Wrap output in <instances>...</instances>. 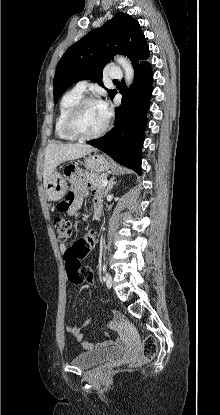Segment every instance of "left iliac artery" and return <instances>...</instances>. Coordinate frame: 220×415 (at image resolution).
Returning <instances> with one entry per match:
<instances>
[{
  "instance_id": "1",
  "label": "left iliac artery",
  "mask_w": 220,
  "mask_h": 415,
  "mask_svg": "<svg viewBox=\"0 0 220 415\" xmlns=\"http://www.w3.org/2000/svg\"><path fill=\"white\" fill-rule=\"evenodd\" d=\"M102 269H103V272H105V270H106V265L105 264H103Z\"/></svg>"
}]
</instances>
